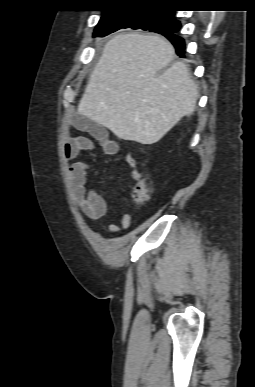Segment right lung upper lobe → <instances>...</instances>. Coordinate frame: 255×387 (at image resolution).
<instances>
[{"instance_id":"obj_1","label":"right lung upper lobe","mask_w":255,"mask_h":387,"mask_svg":"<svg viewBox=\"0 0 255 387\" xmlns=\"http://www.w3.org/2000/svg\"><path fill=\"white\" fill-rule=\"evenodd\" d=\"M116 3L107 11L103 13H121L128 11L141 10L145 12H151L159 10L162 5L160 1L165 0H112Z\"/></svg>"}]
</instances>
